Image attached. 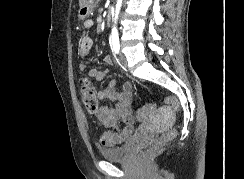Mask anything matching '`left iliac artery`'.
I'll return each mask as SVG.
<instances>
[{"label":"left iliac artery","mask_w":244,"mask_h":179,"mask_svg":"<svg viewBox=\"0 0 244 179\" xmlns=\"http://www.w3.org/2000/svg\"><path fill=\"white\" fill-rule=\"evenodd\" d=\"M111 40H112L113 50L115 51L116 54L119 53L120 44H119V35L117 30L112 31Z\"/></svg>","instance_id":"44dca946"}]
</instances>
